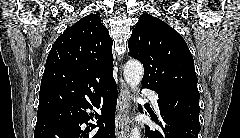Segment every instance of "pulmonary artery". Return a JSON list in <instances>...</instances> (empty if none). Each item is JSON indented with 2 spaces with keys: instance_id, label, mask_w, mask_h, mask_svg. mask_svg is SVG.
Here are the masks:
<instances>
[{
  "instance_id": "e3ab8cb5",
  "label": "pulmonary artery",
  "mask_w": 240,
  "mask_h": 138,
  "mask_svg": "<svg viewBox=\"0 0 240 138\" xmlns=\"http://www.w3.org/2000/svg\"><path fill=\"white\" fill-rule=\"evenodd\" d=\"M144 94L150 99L155 110L159 111L158 102H157L158 96H157L156 92L149 90V89H145Z\"/></svg>"
}]
</instances>
